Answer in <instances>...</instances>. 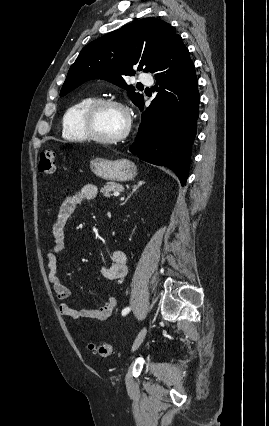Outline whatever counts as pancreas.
I'll use <instances>...</instances> for the list:
<instances>
[{"mask_svg": "<svg viewBox=\"0 0 269 426\" xmlns=\"http://www.w3.org/2000/svg\"><path fill=\"white\" fill-rule=\"evenodd\" d=\"M122 189V185L109 182L101 188L100 192L103 193L104 197L109 198L110 196H112V192H119L122 191Z\"/></svg>", "mask_w": 269, "mask_h": 426, "instance_id": "pancreas-1", "label": "pancreas"}]
</instances>
